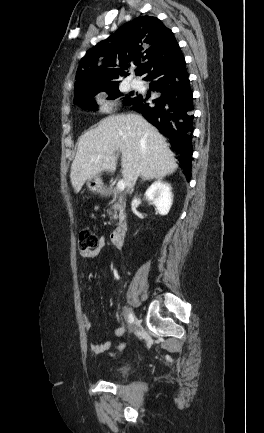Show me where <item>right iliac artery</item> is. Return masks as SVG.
<instances>
[{
  "label": "right iliac artery",
  "mask_w": 264,
  "mask_h": 433,
  "mask_svg": "<svg viewBox=\"0 0 264 433\" xmlns=\"http://www.w3.org/2000/svg\"><path fill=\"white\" fill-rule=\"evenodd\" d=\"M133 321H134L133 314L129 311V312H128V322H129V323H133Z\"/></svg>",
  "instance_id": "1"
}]
</instances>
